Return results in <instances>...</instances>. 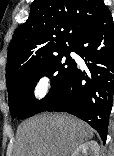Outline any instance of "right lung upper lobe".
I'll list each match as a JSON object with an SVG mask.
<instances>
[{
	"label": "right lung upper lobe",
	"mask_w": 114,
	"mask_h": 156,
	"mask_svg": "<svg viewBox=\"0 0 114 156\" xmlns=\"http://www.w3.org/2000/svg\"><path fill=\"white\" fill-rule=\"evenodd\" d=\"M105 10L101 0H34L28 20L16 30L8 49L7 88L21 73L73 49Z\"/></svg>",
	"instance_id": "1"
}]
</instances>
